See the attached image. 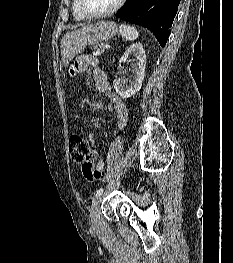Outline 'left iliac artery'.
<instances>
[{
  "label": "left iliac artery",
  "mask_w": 233,
  "mask_h": 263,
  "mask_svg": "<svg viewBox=\"0 0 233 263\" xmlns=\"http://www.w3.org/2000/svg\"><path fill=\"white\" fill-rule=\"evenodd\" d=\"M103 193V188H100L99 190L96 191L95 197L98 198L100 195Z\"/></svg>",
  "instance_id": "left-iliac-artery-1"
}]
</instances>
